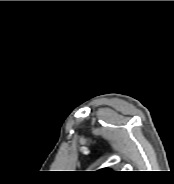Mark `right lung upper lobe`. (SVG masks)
I'll use <instances>...</instances> for the list:
<instances>
[{
  "mask_svg": "<svg viewBox=\"0 0 174 184\" xmlns=\"http://www.w3.org/2000/svg\"><path fill=\"white\" fill-rule=\"evenodd\" d=\"M99 171H105V172H110L111 170H109V169H102V170H99Z\"/></svg>",
  "mask_w": 174,
  "mask_h": 184,
  "instance_id": "obj_1",
  "label": "right lung upper lobe"
}]
</instances>
